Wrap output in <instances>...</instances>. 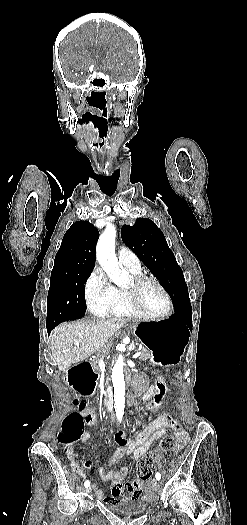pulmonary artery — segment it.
I'll return each instance as SVG.
<instances>
[{"instance_id":"obj_1","label":"pulmonary artery","mask_w":247,"mask_h":525,"mask_svg":"<svg viewBox=\"0 0 247 525\" xmlns=\"http://www.w3.org/2000/svg\"><path fill=\"white\" fill-rule=\"evenodd\" d=\"M117 254H118L119 260L123 264L134 265L136 263V261H137V257L134 254V252L131 249H129L128 247L124 246V245H120L118 247Z\"/></svg>"}]
</instances>
